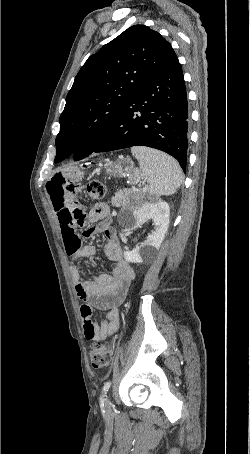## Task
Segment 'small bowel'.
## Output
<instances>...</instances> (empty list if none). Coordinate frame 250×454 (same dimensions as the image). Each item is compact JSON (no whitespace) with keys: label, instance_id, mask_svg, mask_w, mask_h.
<instances>
[{"label":"small bowel","instance_id":"1","mask_svg":"<svg viewBox=\"0 0 250 454\" xmlns=\"http://www.w3.org/2000/svg\"><path fill=\"white\" fill-rule=\"evenodd\" d=\"M47 191L58 218L68 255L74 258H89L96 253L94 246L82 243L76 232L78 227L84 228L85 238L95 233L105 235L104 251L112 261L110 273L98 276L88 273V280H83L78 267L74 264L70 267L75 290L81 301L80 314L84 335L89 340H105L118 328V307L134 278L133 269L124 260L122 247L115 230L111 227L109 207L99 203L87 212L77 198L82 191L81 181L72 176L56 174L47 183ZM93 308L105 311L106 319L95 322L92 319Z\"/></svg>","mask_w":250,"mask_h":454}]
</instances>
